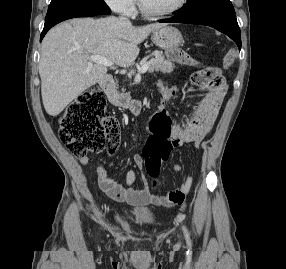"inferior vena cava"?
<instances>
[{"label": "inferior vena cava", "mask_w": 286, "mask_h": 269, "mask_svg": "<svg viewBox=\"0 0 286 269\" xmlns=\"http://www.w3.org/2000/svg\"><path fill=\"white\" fill-rule=\"evenodd\" d=\"M120 20L128 21V19H127V18H125V17H121V18H120Z\"/></svg>", "instance_id": "1"}]
</instances>
